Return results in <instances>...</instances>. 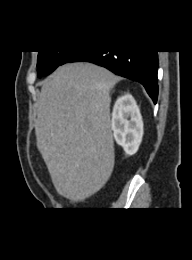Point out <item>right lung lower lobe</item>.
Instances as JSON below:
<instances>
[{"mask_svg": "<svg viewBox=\"0 0 192 260\" xmlns=\"http://www.w3.org/2000/svg\"><path fill=\"white\" fill-rule=\"evenodd\" d=\"M86 61L103 66L117 75L140 82L153 102L158 97V55L157 51H77L70 52L62 61Z\"/></svg>", "mask_w": 192, "mask_h": 260, "instance_id": "obj_1", "label": "right lung lower lobe"}]
</instances>
